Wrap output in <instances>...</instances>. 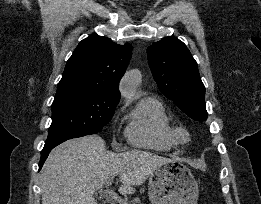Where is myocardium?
Returning a JSON list of instances; mask_svg holds the SVG:
<instances>
[{
  "label": "myocardium",
  "mask_w": 261,
  "mask_h": 204,
  "mask_svg": "<svg viewBox=\"0 0 261 204\" xmlns=\"http://www.w3.org/2000/svg\"><path fill=\"white\" fill-rule=\"evenodd\" d=\"M174 134L176 139L180 142H187L190 139L188 130L183 126L175 127Z\"/></svg>",
  "instance_id": "myocardium-1"
}]
</instances>
